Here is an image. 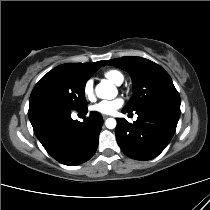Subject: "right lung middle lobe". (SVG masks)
I'll return each mask as SVG.
<instances>
[{
  "instance_id": "dd1d6c3e",
  "label": "right lung middle lobe",
  "mask_w": 210,
  "mask_h": 210,
  "mask_svg": "<svg viewBox=\"0 0 210 210\" xmlns=\"http://www.w3.org/2000/svg\"><path fill=\"white\" fill-rule=\"evenodd\" d=\"M79 74L55 67L35 85L29 100V119L54 110H77L87 107L85 85L95 72Z\"/></svg>"
}]
</instances>
